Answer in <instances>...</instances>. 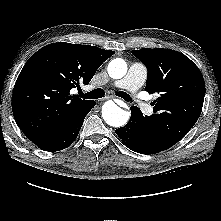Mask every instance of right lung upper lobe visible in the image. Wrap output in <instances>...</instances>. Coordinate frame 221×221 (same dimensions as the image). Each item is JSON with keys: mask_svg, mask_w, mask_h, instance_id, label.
<instances>
[{"mask_svg": "<svg viewBox=\"0 0 221 221\" xmlns=\"http://www.w3.org/2000/svg\"><path fill=\"white\" fill-rule=\"evenodd\" d=\"M115 52L96 46L49 44L24 65L12 95L14 118L35 144L81 116L93 101L70 95L79 83L88 84L97 69Z\"/></svg>", "mask_w": 221, "mask_h": 221, "instance_id": "cb5924a9", "label": "right lung upper lobe"}]
</instances>
